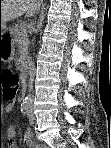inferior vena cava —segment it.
<instances>
[{
    "mask_svg": "<svg viewBox=\"0 0 111 148\" xmlns=\"http://www.w3.org/2000/svg\"><path fill=\"white\" fill-rule=\"evenodd\" d=\"M35 73H36L35 67H34V65H32L31 68H30V73H29V75H30V80H29L30 91L33 87V81H34Z\"/></svg>",
    "mask_w": 111,
    "mask_h": 148,
    "instance_id": "obj_1",
    "label": "inferior vena cava"
}]
</instances>
